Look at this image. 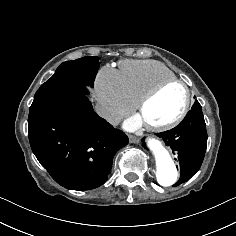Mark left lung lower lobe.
Wrapping results in <instances>:
<instances>
[{"label": "left lung lower lobe", "instance_id": "left-lung-lower-lobe-1", "mask_svg": "<svg viewBox=\"0 0 236 236\" xmlns=\"http://www.w3.org/2000/svg\"><path fill=\"white\" fill-rule=\"evenodd\" d=\"M156 135L164 140L179 160L180 179L174 186L188 181L200 169L207 147L206 124L199 102L178 126ZM142 142L146 148L144 139Z\"/></svg>", "mask_w": 236, "mask_h": 236}]
</instances>
